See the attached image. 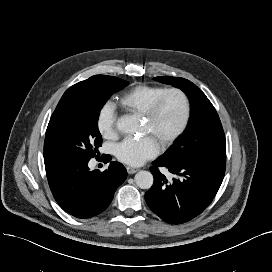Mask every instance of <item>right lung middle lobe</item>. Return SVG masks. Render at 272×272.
<instances>
[{
  "mask_svg": "<svg viewBox=\"0 0 272 272\" xmlns=\"http://www.w3.org/2000/svg\"><path fill=\"white\" fill-rule=\"evenodd\" d=\"M127 84L125 80L101 75L88 92L56 108L46 130L44 159L95 157L102 144L97 124L100 110L114 92Z\"/></svg>",
  "mask_w": 272,
  "mask_h": 272,
  "instance_id": "dd1d6c3e",
  "label": "right lung middle lobe"
}]
</instances>
